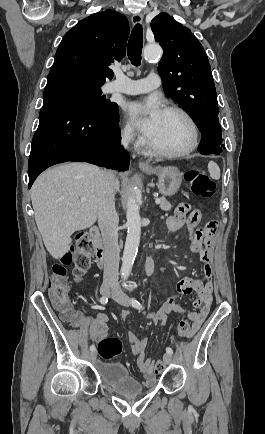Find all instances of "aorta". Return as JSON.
<instances>
[{"mask_svg": "<svg viewBox=\"0 0 265 434\" xmlns=\"http://www.w3.org/2000/svg\"><path fill=\"white\" fill-rule=\"evenodd\" d=\"M160 54L161 50L157 46H145L143 50L144 58H157ZM136 190L137 188L130 190L131 194L126 204L127 236L121 266L122 280L129 278L140 244L141 218L139 214L140 206L136 202Z\"/></svg>", "mask_w": 265, "mask_h": 434, "instance_id": "aorta-1", "label": "aorta"}]
</instances>
